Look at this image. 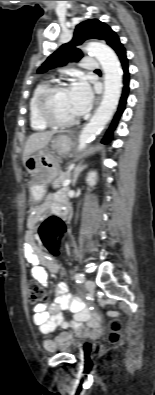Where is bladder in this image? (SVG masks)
Here are the masks:
<instances>
[{
  "label": "bladder",
  "mask_w": 155,
  "mask_h": 395,
  "mask_svg": "<svg viewBox=\"0 0 155 395\" xmlns=\"http://www.w3.org/2000/svg\"><path fill=\"white\" fill-rule=\"evenodd\" d=\"M95 348L92 340H69L59 346V351L71 354H88Z\"/></svg>",
  "instance_id": "1"
}]
</instances>
